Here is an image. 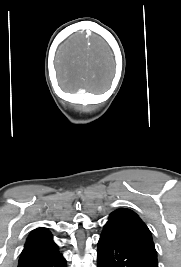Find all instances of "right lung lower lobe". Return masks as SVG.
<instances>
[{
	"label": "right lung lower lobe",
	"instance_id": "obj_1",
	"mask_svg": "<svg viewBox=\"0 0 181 267\" xmlns=\"http://www.w3.org/2000/svg\"><path fill=\"white\" fill-rule=\"evenodd\" d=\"M18 267H66V261L58 248H28L22 251Z\"/></svg>",
	"mask_w": 181,
	"mask_h": 267
}]
</instances>
